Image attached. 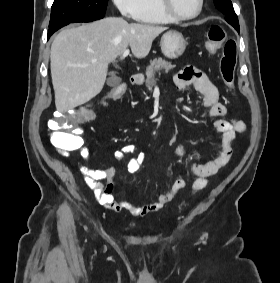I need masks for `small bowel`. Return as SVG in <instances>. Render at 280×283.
Instances as JSON below:
<instances>
[{
  "mask_svg": "<svg viewBox=\"0 0 280 283\" xmlns=\"http://www.w3.org/2000/svg\"><path fill=\"white\" fill-rule=\"evenodd\" d=\"M175 85L178 88L186 86H193L203 96V108L205 110L203 117L213 118L215 129L222 136V143L217 150L215 157L205 163L194 162L191 164V172L196 176L191 187V193L204 188L207 184V178L217 173V171L224 166L230 159L233 144L237 135L246 132V124L239 119H232L230 121L222 119L227 114L225 105L218 101L219 91L217 87L210 81L207 75L201 70L188 67L180 71L174 78ZM82 144L77 149L82 159L87 160L90 156V150ZM176 154L179 157L184 155V147L178 145L176 147ZM128 155H132L127 162V171L131 174L139 172L146 160V155L138 152L133 144L124 145L114 154L116 160H123ZM79 171L83 176L86 185L93 190L98 202L107 209L114 212L126 211L132 216H145L156 212L167 204H169L186 186V182L182 178L174 180L169 188L161 194L154 202L137 205L127 200H117L113 195L115 169L109 168L105 170H91L86 166L80 164ZM104 180L105 184L100 181Z\"/></svg>",
  "mask_w": 280,
  "mask_h": 283,
  "instance_id": "1",
  "label": "small bowel"
}]
</instances>
